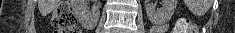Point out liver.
I'll return each instance as SVG.
<instances>
[{"label":"liver","mask_w":235,"mask_h":33,"mask_svg":"<svg viewBox=\"0 0 235 33\" xmlns=\"http://www.w3.org/2000/svg\"><path fill=\"white\" fill-rule=\"evenodd\" d=\"M53 0H39L38 7L39 11L43 16H46L53 10Z\"/></svg>","instance_id":"liver-1"}]
</instances>
